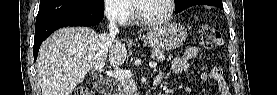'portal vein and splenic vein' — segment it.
<instances>
[{
    "instance_id": "1",
    "label": "portal vein and splenic vein",
    "mask_w": 277,
    "mask_h": 95,
    "mask_svg": "<svg viewBox=\"0 0 277 95\" xmlns=\"http://www.w3.org/2000/svg\"><path fill=\"white\" fill-rule=\"evenodd\" d=\"M105 65V61L100 62L99 64L95 65L94 69L95 71H101L102 68ZM149 66L151 68H156L157 63L156 62H150ZM106 74L109 77L115 78L117 80H124L129 79L132 77V72L130 70H114V71H106Z\"/></svg>"
}]
</instances>
